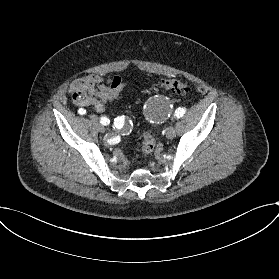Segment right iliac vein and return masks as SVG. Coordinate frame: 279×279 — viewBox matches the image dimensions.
<instances>
[{
  "mask_svg": "<svg viewBox=\"0 0 279 279\" xmlns=\"http://www.w3.org/2000/svg\"><path fill=\"white\" fill-rule=\"evenodd\" d=\"M91 119L98 122V117L96 115H92ZM98 129H99L100 132H105V129H104L103 125L100 124V123H98Z\"/></svg>",
  "mask_w": 279,
  "mask_h": 279,
  "instance_id": "right-iliac-vein-1",
  "label": "right iliac vein"
}]
</instances>
